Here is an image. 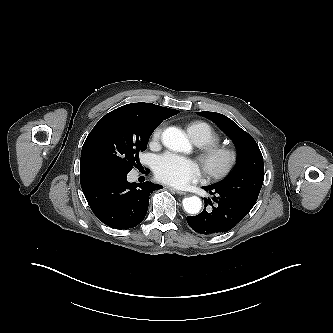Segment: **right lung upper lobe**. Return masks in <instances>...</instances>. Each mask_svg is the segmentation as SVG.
Segmentation results:
<instances>
[{
	"label": "right lung upper lobe",
	"instance_id": "cb5924a9",
	"mask_svg": "<svg viewBox=\"0 0 333 333\" xmlns=\"http://www.w3.org/2000/svg\"><path fill=\"white\" fill-rule=\"evenodd\" d=\"M116 112L128 114L133 117L145 118L155 122H162L179 113V111L175 109L142 102L127 104L111 111V113Z\"/></svg>",
	"mask_w": 333,
	"mask_h": 333
}]
</instances>
